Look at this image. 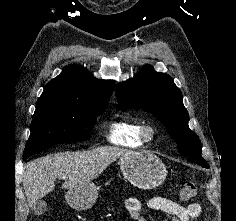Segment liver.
<instances>
[{
    "instance_id": "liver-1",
    "label": "liver",
    "mask_w": 236,
    "mask_h": 221,
    "mask_svg": "<svg viewBox=\"0 0 236 221\" xmlns=\"http://www.w3.org/2000/svg\"><path fill=\"white\" fill-rule=\"evenodd\" d=\"M130 151L103 146L84 152H62L38 158L25 166L23 186L30 207L54 190L56 179L65 189L91 183L112 162Z\"/></svg>"
}]
</instances>
